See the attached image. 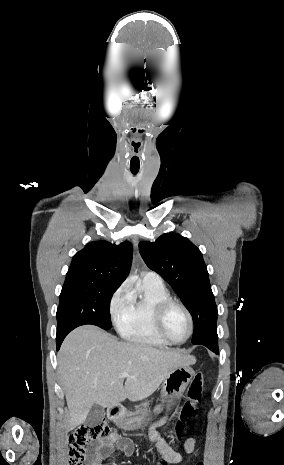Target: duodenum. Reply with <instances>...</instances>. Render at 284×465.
Masks as SVG:
<instances>
[{
  "label": "duodenum",
  "mask_w": 284,
  "mask_h": 465,
  "mask_svg": "<svg viewBox=\"0 0 284 465\" xmlns=\"http://www.w3.org/2000/svg\"><path fill=\"white\" fill-rule=\"evenodd\" d=\"M123 414V410L120 406L118 405H115V406H112L109 410H108V416L115 420L116 422H119V419H120V416Z\"/></svg>",
  "instance_id": "duodenum-1"
}]
</instances>
